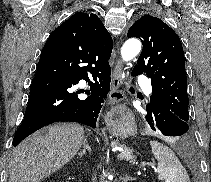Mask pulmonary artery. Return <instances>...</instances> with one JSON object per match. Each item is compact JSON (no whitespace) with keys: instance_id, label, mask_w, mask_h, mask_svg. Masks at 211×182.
<instances>
[{"instance_id":"1","label":"pulmonary artery","mask_w":211,"mask_h":182,"mask_svg":"<svg viewBox=\"0 0 211 182\" xmlns=\"http://www.w3.org/2000/svg\"><path fill=\"white\" fill-rule=\"evenodd\" d=\"M138 83L140 85L145 86V91H146V93L148 95H150L152 93V89H151V87H150V85H149V83L147 81V78L144 75H142V76L139 77Z\"/></svg>"}]
</instances>
